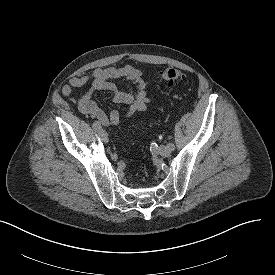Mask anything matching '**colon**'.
<instances>
[{
  "label": "colon",
  "instance_id": "obj_1",
  "mask_svg": "<svg viewBox=\"0 0 275 275\" xmlns=\"http://www.w3.org/2000/svg\"><path fill=\"white\" fill-rule=\"evenodd\" d=\"M158 81L173 85L176 83L188 84L189 79L187 76L180 70L174 68H166L161 70L157 75Z\"/></svg>",
  "mask_w": 275,
  "mask_h": 275
}]
</instances>
